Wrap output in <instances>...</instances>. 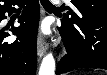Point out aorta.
I'll return each mask as SVG.
<instances>
[{"label":"aorta","mask_w":107,"mask_h":75,"mask_svg":"<svg viewBox=\"0 0 107 75\" xmlns=\"http://www.w3.org/2000/svg\"><path fill=\"white\" fill-rule=\"evenodd\" d=\"M39 75H55V60L51 53L43 58Z\"/></svg>","instance_id":"obj_1"}]
</instances>
